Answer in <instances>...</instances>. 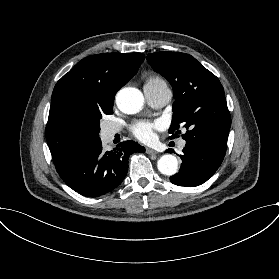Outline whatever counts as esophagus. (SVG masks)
Wrapping results in <instances>:
<instances>
[{"label":"esophagus","instance_id":"1","mask_svg":"<svg viewBox=\"0 0 279 279\" xmlns=\"http://www.w3.org/2000/svg\"><path fill=\"white\" fill-rule=\"evenodd\" d=\"M146 153L150 156H156L157 152L153 150L152 148L146 147Z\"/></svg>","mask_w":279,"mask_h":279}]
</instances>
